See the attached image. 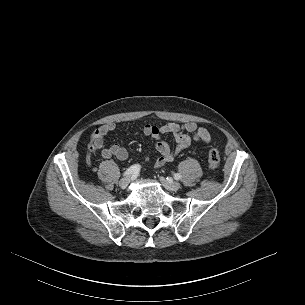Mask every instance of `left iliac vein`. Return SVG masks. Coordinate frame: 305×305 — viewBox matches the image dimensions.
<instances>
[{
  "label": "left iliac vein",
  "instance_id": "1",
  "mask_svg": "<svg viewBox=\"0 0 305 305\" xmlns=\"http://www.w3.org/2000/svg\"><path fill=\"white\" fill-rule=\"evenodd\" d=\"M162 185L170 191H177L181 188V184L178 181L168 180L164 177H160Z\"/></svg>",
  "mask_w": 305,
  "mask_h": 305
}]
</instances>
